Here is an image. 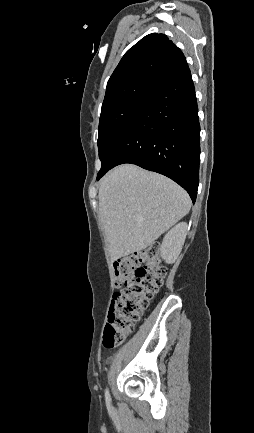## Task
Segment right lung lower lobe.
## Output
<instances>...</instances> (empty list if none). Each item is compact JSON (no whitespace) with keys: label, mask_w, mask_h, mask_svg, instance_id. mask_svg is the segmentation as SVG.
<instances>
[{"label":"right lung lower lobe","mask_w":254,"mask_h":433,"mask_svg":"<svg viewBox=\"0 0 254 433\" xmlns=\"http://www.w3.org/2000/svg\"><path fill=\"white\" fill-rule=\"evenodd\" d=\"M200 125L194 84L186 68L148 99L124 129L97 175L123 163L163 174L196 200Z\"/></svg>","instance_id":"obj_1"}]
</instances>
